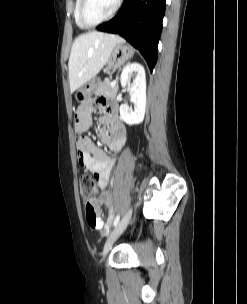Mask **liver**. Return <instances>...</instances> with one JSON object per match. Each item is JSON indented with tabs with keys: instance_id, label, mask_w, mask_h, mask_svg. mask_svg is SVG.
Listing matches in <instances>:
<instances>
[{
	"instance_id": "liver-1",
	"label": "liver",
	"mask_w": 247,
	"mask_h": 304,
	"mask_svg": "<svg viewBox=\"0 0 247 304\" xmlns=\"http://www.w3.org/2000/svg\"><path fill=\"white\" fill-rule=\"evenodd\" d=\"M123 42L117 35L96 31L78 36L68 63L71 93L94 78L109 60L115 45Z\"/></svg>"
}]
</instances>
